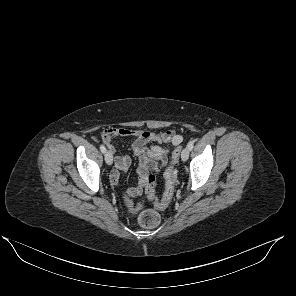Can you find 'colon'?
I'll use <instances>...</instances> for the list:
<instances>
[{"mask_svg": "<svg viewBox=\"0 0 296 296\" xmlns=\"http://www.w3.org/2000/svg\"><path fill=\"white\" fill-rule=\"evenodd\" d=\"M181 150L182 148L180 146L175 148L172 153L171 165L164 172L165 191L163 197L160 200H158L155 195V175L148 173L144 178V191L148 198L154 201L155 207L159 210L167 208L172 200L176 181L174 165L178 162ZM135 212L138 216V222L140 226L144 228H155L161 222V217L155 210L143 209L141 206H139L136 208Z\"/></svg>", "mask_w": 296, "mask_h": 296, "instance_id": "1", "label": "colon"}]
</instances>
